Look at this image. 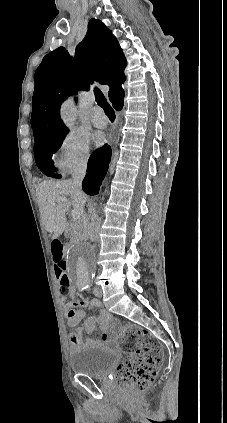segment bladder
<instances>
[{
	"label": "bladder",
	"mask_w": 227,
	"mask_h": 423,
	"mask_svg": "<svg viewBox=\"0 0 227 423\" xmlns=\"http://www.w3.org/2000/svg\"><path fill=\"white\" fill-rule=\"evenodd\" d=\"M118 359L116 352L106 351L99 345L85 346L71 357L70 367L78 375L102 380L111 374Z\"/></svg>",
	"instance_id": "bladder-1"
}]
</instances>
